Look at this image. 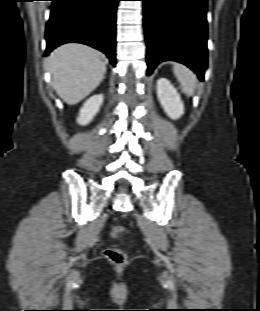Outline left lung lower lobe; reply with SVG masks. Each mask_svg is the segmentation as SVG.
Returning a JSON list of instances; mask_svg holds the SVG:
<instances>
[{
    "label": "left lung lower lobe",
    "instance_id": "1",
    "mask_svg": "<svg viewBox=\"0 0 260 311\" xmlns=\"http://www.w3.org/2000/svg\"><path fill=\"white\" fill-rule=\"evenodd\" d=\"M147 75L163 61L185 64L204 78L207 68V0H141Z\"/></svg>",
    "mask_w": 260,
    "mask_h": 311
}]
</instances>
